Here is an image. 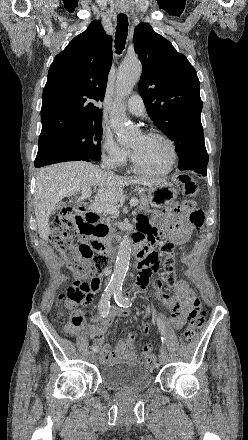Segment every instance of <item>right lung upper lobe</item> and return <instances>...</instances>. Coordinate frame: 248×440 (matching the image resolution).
<instances>
[{"instance_id":"cb5924a9","label":"right lung upper lobe","mask_w":248,"mask_h":440,"mask_svg":"<svg viewBox=\"0 0 248 440\" xmlns=\"http://www.w3.org/2000/svg\"><path fill=\"white\" fill-rule=\"evenodd\" d=\"M112 37L94 20L52 62L42 95L40 135L101 122Z\"/></svg>"}]
</instances>
